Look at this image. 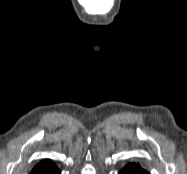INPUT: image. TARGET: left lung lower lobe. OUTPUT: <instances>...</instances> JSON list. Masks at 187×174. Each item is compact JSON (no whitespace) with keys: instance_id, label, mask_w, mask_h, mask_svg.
<instances>
[{"instance_id":"0a47b994","label":"left lung lower lobe","mask_w":187,"mask_h":174,"mask_svg":"<svg viewBox=\"0 0 187 174\" xmlns=\"http://www.w3.org/2000/svg\"><path fill=\"white\" fill-rule=\"evenodd\" d=\"M119 174H149L147 171L142 169L140 165L128 164L126 165Z\"/></svg>"}]
</instances>
